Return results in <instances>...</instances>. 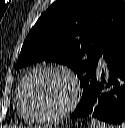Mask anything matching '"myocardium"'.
<instances>
[{
    "label": "myocardium",
    "mask_w": 125,
    "mask_h": 128,
    "mask_svg": "<svg viewBox=\"0 0 125 128\" xmlns=\"http://www.w3.org/2000/svg\"><path fill=\"white\" fill-rule=\"evenodd\" d=\"M40 71H51V72L60 73L63 76H65L72 85L73 94L70 102L63 109H61L56 113L37 114L33 112L28 106V103L26 100V87L28 85L30 78L34 74ZM80 96H81V87L76 77L72 74L71 71L58 65L43 64V65L36 66L26 74V76L23 78L20 84V103H21L22 109L32 121H35L38 123H51V122L59 121L60 119L64 118L66 115H68L70 112H72L75 109L76 105L79 102Z\"/></svg>",
    "instance_id": "obj_1"
}]
</instances>
